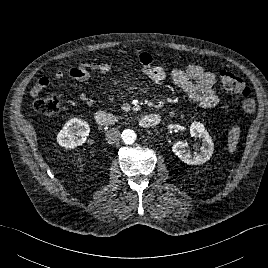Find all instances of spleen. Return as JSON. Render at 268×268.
I'll use <instances>...</instances> for the list:
<instances>
[{"label": "spleen", "mask_w": 268, "mask_h": 268, "mask_svg": "<svg viewBox=\"0 0 268 268\" xmlns=\"http://www.w3.org/2000/svg\"><path fill=\"white\" fill-rule=\"evenodd\" d=\"M239 132H240V128L239 127H234L230 134H229V151L232 153L235 151L236 149V144L238 142L239 139Z\"/></svg>", "instance_id": "obj_1"}]
</instances>
